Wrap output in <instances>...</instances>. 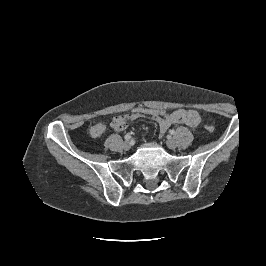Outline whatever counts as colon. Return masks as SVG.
Listing matches in <instances>:
<instances>
[{
  "label": "colon",
  "instance_id": "1",
  "mask_svg": "<svg viewBox=\"0 0 266 266\" xmlns=\"http://www.w3.org/2000/svg\"><path fill=\"white\" fill-rule=\"evenodd\" d=\"M131 116L136 117V118H143V117H149V118H155V117H164L170 114L167 110L165 109H160V108H152V107H144V106H138L135 107L130 113ZM205 129L208 132H213L214 131V126L212 125H206Z\"/></svg>",
  "mask_w": 266,
  "mask_h": 266
}]
</instances>
